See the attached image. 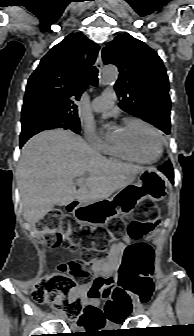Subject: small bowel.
<instances>
[{
    "mask_svg": "<svg viewBox=\"0 0 194 336\" xmlns=\"http://www.w3.org/2000/svg\"><path fill=\"white\" fill-rule=\"evenodd\" d=\"M130 246L128 238L113 240L106 256L100 257L92 264V277L77 288V294L84 300V311L78 319V324L88 323L97 326L108 319V314L100 304V297H92L91 290H101L105 281L112 278L121 266L126 249ZM151 270L148 273L140 272L137 275L136 289L150 290V280L153 271V254L151 253Z\"/></svg>",
    "mask_w": 194,
    "mask_h": 336,
    "instance_id": "small-bowel-1",
    "label": "small bowel"
}]
</instances>
